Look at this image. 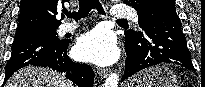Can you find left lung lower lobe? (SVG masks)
I'll return each mask as SVG.
<instances>
[{
	"label": "left lung lower lobe",
	"instance_id": "1",
	"mask_svg": "<svg viewBox=\"0 0 205 87\" xmlns=\"http://www.w3.org/2000/svg\"><path fill=\"white\" fill-rule=\"evenodd\" d=\"M140 37L125 40L127 59L121 78L160 63H176L195 71L176 10H162L144 18Z\"/></svg>",
	"mask_w": 205,
	"mask_h": 87
}]
</instances>
